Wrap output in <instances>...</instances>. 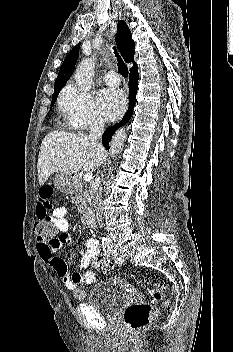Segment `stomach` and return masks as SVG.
I'll return each instance as SVG.
<instances>
[{
    "label": "stomach",
    "instance_id": "0dacf381",
    "mask_svg": "<svg viewBox=\"0 0 233 352\" xmlns=\"http://www.w3.org/2000/svg\"><path fill=\"white\" fill-rule=\"evenodd\" d=\"M55 184L58 189L65 193H73L74 183L73 177L70 174L57 173L55 178Z\"/></svg>",
    "mask_w": 233,
    "mask_h": 352
}]
</instances>
